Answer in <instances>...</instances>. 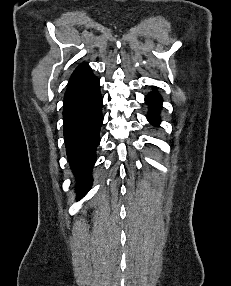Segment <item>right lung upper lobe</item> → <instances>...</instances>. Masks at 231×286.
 Wrapping results in <instances>:
<instances>
[{"label":"right lung upper lobe","instance_id":"cb5924a9","mask_svg":"<svg viewBox=\"0 0 231 286\" xmlns=\"http://www.w3.org/2000/svg\"><path fill=\"white\" fill-rule=\"evenodd\" d=\"M88 72H91V68L86 63H82L73 72L72 77H74V76H76L77 74H80V73H88Z\"/></svg>","mask_w":231,"mask_h":286}]
</instances>
